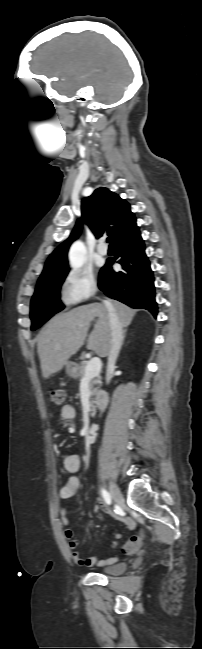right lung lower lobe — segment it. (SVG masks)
Here are the masks:
<instances>
[{"label":"right lung lower lobe","instance_id":"right-lung-lower-lobe-1","mask_svg":"<svg viewBox=\"0 0 202 649\" xmlns=\"http://www.w3.org/2000/svg\"><path fill=\"white\" fill-rule=\"evenodd\" d=\"M116 254L108 258L99 275V288L110 298L132 308L149 310L154 317L158 312L155 301L153 271L145 254V244L139 228L114 242ZM118 259L122 271L115 272L112 265Z\"/></svg>","mask_w":202,"mask_h":649}]
</instances>
